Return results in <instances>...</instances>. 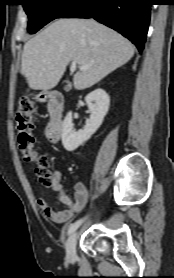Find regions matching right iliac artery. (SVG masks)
I'll use <instances>...</instances> for the list:
<instances>
[{
	"mask_svg": "<svg viewBox=\"0 0 174 278\" xmlns=\"http://www.w3.org/2000/svg\"><path fill=\"white\" fill-rule=\"evenodd\" d=\"M83 222V219H80L74 223H72L68 229V235L72 234L79 226L80 224Z\"/></svg>",
	"mask_w": 174,
	"mask_h": 278,
	"instance_id": "obj_1",
	"label": "right iliac artery"
}]
</instances>
